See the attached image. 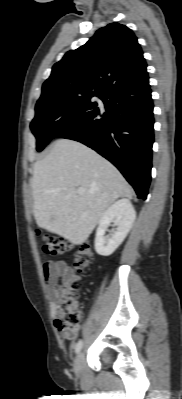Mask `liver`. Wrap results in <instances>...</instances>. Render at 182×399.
I'll list each match as a JSON object with an SVG mask.
<instances>
[{"label":"liver","mask_w":182,"mask_h":399,"mask_svg":"<svg viewBox=\"0 0 182 399\" xmlns=\"http://www.w3.org/2000/svg\"><path fill=\"white\" fill-rule=\"evenodd\" d=\"M33 168L37 225L75 245L88 239L115 200L134 194L109 161L77 141H55L50 153ZM78 188L85 192L78 193Z\"/></svg>","instance_id":"6515ba94"}]
</instances>
